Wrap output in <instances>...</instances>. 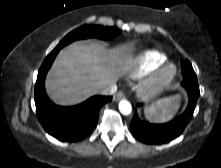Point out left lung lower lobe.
<instances>
[{
  "label": "left lung lower lobe",
  "mask_w": 221,
  "mask_h": 168,
  "mask_svg": "<svg viewBox=\"0 0 221 168\" xmlns=\"http://www.w3.org/2000/svg\"><path fill=\"white\" fill-rule=\"evenodd\" d=\"M182 86L188 93L189 102L186 110L178 118L165 124H153L141 121L138 118L137 110H134V116L130 123V128L139 141L146 144H164L182 134L193 116L200 95L197 77L183 78Z\"/></svg>",
  "instance_id": "1"
}]
</instances>
